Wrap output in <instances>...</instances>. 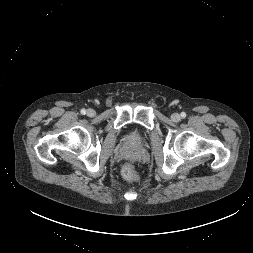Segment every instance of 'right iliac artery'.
<instances>
[{
  "mask_svg": "<svg viewBox=\"0 0 253 253\" xmlns=\"http://www.w3.org/2000/svg\"><path fill=\"white\" fill-rule=\"evenodd\" d=\"M81 114H86V110H85V109H82V110H81Z\"/></svg>",
  "mask_w": 253,
  "mask_h": 253,
  "instance_id": "82829eb1",
  "label": "right iliac artery"
}]
</instances>
